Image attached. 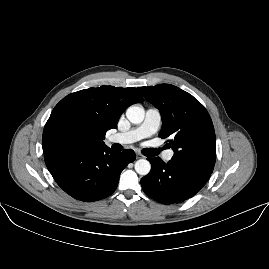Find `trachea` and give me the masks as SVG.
Returning a JSON list of instances; mask_svg holds the SVG:
<instances>
[{"mask_svg": "<svg viewBox=\"0 0 269 269\" xmlns=\"http://www.w3.org/2000/svg\"><path fill=\"white\" fill-rule=\"evenodd\" d=\"M161 149H152V148H146V149H143L142 150V153L145 155V156H149V157H152V156H156L160 153Z\"/></svg>", "mask_w": 269, "mask_h": 269, "instance_id": "3493384b", "label": "trachea"}]
</instances>
